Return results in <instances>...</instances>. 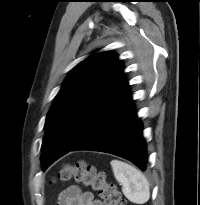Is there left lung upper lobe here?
<instances>
[{
  "instance_id": "5c2ea615",
  "label": "left lung upper lobe",
  "mask_w": 200,
  "mask_h": 205,
  "mask_svg": "<svg viewBox=\"0 0 200 205\" xmlns=\"http://www.w3.org/2000/svg\"><path fill=\"white\" fill-rule=\"evenodd\" d=\"M124 66L111 52L95 54L68 75L47 115L41 163L73 149L113 102L126 82Z\"/></svg>"
}]
</instances>
